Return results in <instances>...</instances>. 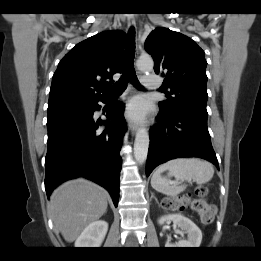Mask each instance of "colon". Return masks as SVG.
Masks as SVG:
<instances>
[{
  "mask_svg": "<svg viewBox=\"0 0 261 261\" xmlns=\"http://www.w3.org/2000/svg\"><path fill=\"white\" fill-rule=\"evenodd\" d=\"M194 194L196 196L194 200H191L190 195L168 197L162 201V206L170 211H181L185 209L187 205H190L191 208L198 213L202 223H212L215 216V207L208 204L205 200L207 188L198 186L194 190Z\"/></svg>",
  "mask_w": 261,
  "mask_h": 261,
  "instance_id": "5ec220e1",
  "label": "colon"
}]
</instances>
